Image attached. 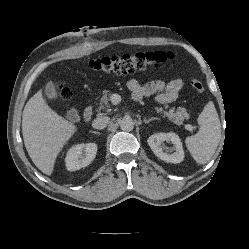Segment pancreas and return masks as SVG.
I'll use <instances>...</instances> for the list:
<instances>
[{"label": "pancreas", "instance_id": "1", "mask_svg": "<svg viewBox=\"0 0 249 249\" xmlns=\"http://www.w3.org/2000/svg\"><path fill=\"white\" fill-rule=\"evenodd\" d=\"M110 92L103 91V96L100 99L99 110L103 109L106 111H110ZM168 108V105L165 106V109ZM155 110L158 113H161L164 117H167L171 122L176 125L183 124L184 120H188L190 115L187 113V110L183 107H178L176 110L175 108H170L168 111L164 110L162 107H155Z\"/></svg>", "mask_w": 249, "mask_h": 249}]
</instances>
